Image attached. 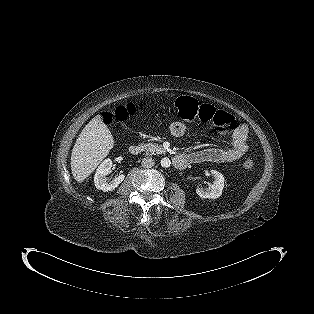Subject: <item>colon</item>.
I'll return each mask as SVG.
<instances>
[{
    "mask_svg": "<svg viewBox=\"0 0 314 314\" xmlns=\"http://www.w3.org/2000/svg\"><path fill=\"white\" fill-rule=\"evenodd\" d=\"M174 104L177 108L178 116L185 121L198 120L203 123H212L219 132H228L236 130L237 120L228 112L216 109L208 104H200L197 100L190 96L178 97ZM142 104L135 106L128 104L118 107L113 113L104 112L100 116V120L106 126L117 123H123L133 116ZM240 166L243 170H250L254 166L251 157H244Z\"/></svg>",
    "mask_w": 314,
    "mask_h": 314,
    "instance_id": "5ec220e1",
    "label": "colon"
}]
</instances>
